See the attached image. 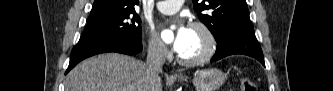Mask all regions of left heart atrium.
<instances>
[{"mask_svg": "<svg viewBox=\"0 0 333 91\" xmlns=\"http://www.w3.org/2000/svg\"><path fill=\"white\" fill-rule=\"evenodd\" d=\"M190 28L179 22L174 30V38L172 41V49L181 53L186 45Z\"/></svg>", "mask_w": 333, "mask_h": 91, "instance_id": "1", "label": "left heart atrium"}]
</instances>
